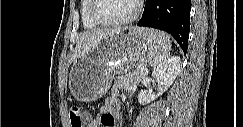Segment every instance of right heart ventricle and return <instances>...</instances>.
<instances>
[{
  "label": "right heart ventricle",
  "mask_w": 243,
  "mask_h": 127,
  "mask_svg": "<svg viewBox=\"0 0 243 127\" xmlns=\"http://www.w3.org/2000/svg\"><path fill=\"white\" fill-rule=\"evenodd\" d=\"M91 4V0H82L80 5L82 23L87 29H95L100 26L91 17Z\"/></svg>",
  "instance_id": "1"
}]
</instances>
